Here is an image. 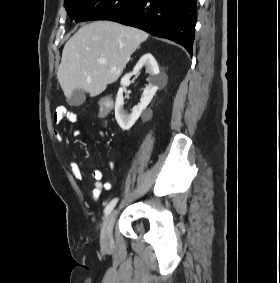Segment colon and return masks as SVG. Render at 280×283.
<instances>
[{"mask_svg": "<svg viewBox=\"0 0 280 283\" xmlns=\"http://www.w3.org/2000/svg\"><path fill=\"white\" fill-rule=\"evenodd\" d=\"M112 104V100L110 98H103L99 102L97 119H108L109 112L113 111V108L110 107ZM57 111V110H56Z\"/></svg>", "mask_w": 280, "mask_h": 283, "instance_id": "1", "label": "colon"}]
</instances>
